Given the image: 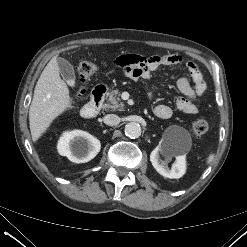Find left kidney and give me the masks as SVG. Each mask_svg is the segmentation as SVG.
Returning <instances> with one entry per match:
<instances>
[{
  "mask_svg": "<svg viewBox=\"0 0 247 247\" xmlns=\"http://www.w3.org/2000/svg\"><path fill=\"white\" fill-rule=\"evenodd\" d=\"M160 154L165 157V161L160 159ZM173 158H175V162L172 167L169 168L167 163ZM150 161L155 170L165 178L178 179L182 177L186 171V155L180 154L177 150L162 141L151 152Z\"/></svg>",
  "mask_w": 247,
  "mask_h": 247,
  "instance_id": "left-kidney-1",
  "label": "left kidney"
}]
</instances>
